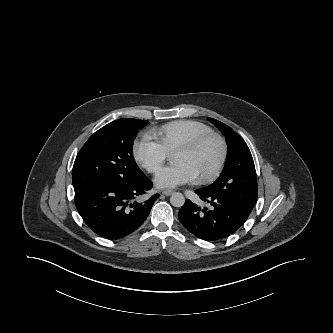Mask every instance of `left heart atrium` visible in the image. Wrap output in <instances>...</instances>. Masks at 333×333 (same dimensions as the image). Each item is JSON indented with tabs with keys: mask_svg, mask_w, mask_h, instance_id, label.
Returning <instances> with one entry per match:
<instances>
[{
	"mask_svg": "<svg viewBox=\"0 0 333 333\" xmlns=\"http://www.w3.org/2000/svg\"><path fill=\"white\" fill-rule=\"evenodd\" d=\"M194 179L195 176L184 164L172 161L157 175L155 183L159 188H173L191 182Z\"/></svg>",
	"mask_w": 333,
	"mask_h": 333,
	"instance_id": "obj_1",
	"label": "left heart atrium"
}]
</instances>
